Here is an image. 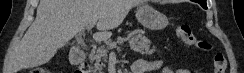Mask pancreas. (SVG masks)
Listing matches in <instances>:
<instances>
[{
	"mask_svg": "<svg viewBox=\"0 0 244 73\" xmlns=\"http://www.w3.org/2000/svg\"><path fill=\"white\" fill-rule=\"evenodd\" d=\"M125 41H129L131 49L141 55H152L156 51L155 47L151 48L150 40L142 35L118 37L116 41L109 43L107 48L93 50L92 60L97 66H103L107 60L108 51L114 47L120 50L118 45H122Z\"/></svg>",
	"mask_w": 244,
	"mask_h": 73,
	"instance_id": "pancreas-1",
	"label": "pancreas"
}]
</instances>
